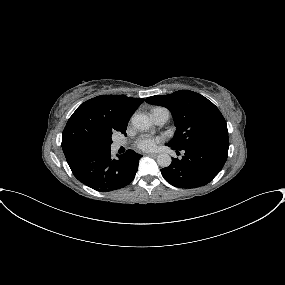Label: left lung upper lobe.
I'll list each match as a JSON object with an SVG mask.
<instances>
[{"mask_svg":"<svg viewBox=\"0 0 285 285\" xmlns=\"http://www.w3.org/2000/svg\"><path fill=\"white\" fill-rule=\"evenodd\" d=\"M152 105L166 107L172 113L177 130L167 145L183 150L197 146H215L228 150L227 124L219 109L204 96L189 90L146 98Z\"/></svg>","mask_w":285,"mask_h":285,"instance_id":"5c2ea615","label":"left lung upper lobe"}]
</instances>
